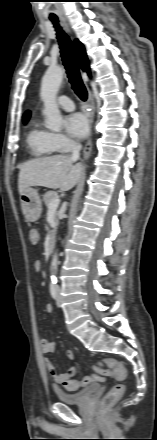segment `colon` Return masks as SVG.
Segmentation results:
<instances>
[{"mask_svg": "<svg viewBox=\"0 0 157 440\" xmlns=\"http://www.w3.org/2000/svg\"><path fill=\"white\" fill-rule=\"evenodd\" d=\"M29 241L32 245L39 244L40 234L36 229H31L29 231ZM35 263L37 265H41L39 261H36ZM94 369L97 373L96 375H87L80 380H66L64 382V387L67 390L75 391L81 387L87 386L94 381L103 380L104 378L113 374L118 383L115 384L101 400L102 408H109L121 398L125 391L124 381L127 377V371L121 362L111 358L99 361L95 364Z\"/></svg>", "mask_w": 157, "mask_h": 440, "instance_id": "1", "label": "colon"}]
</instances>
